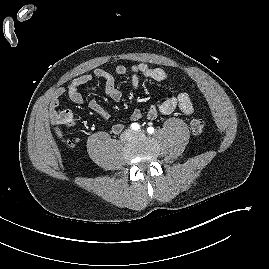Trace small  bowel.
I'll return each mask as SVG.
<instances>
[{
  "label": "small bowel",
  "instance_id": "1",
  "mask_svg": "<svg viewBox=\"0 0 269 269\" xmlns=\"http://www.w3.org/2000/svg\"><path fill=\"white\" fill-rule=\"evenodd\" d=\"M130 72V86L137 88L143 79L153 80L156 82H164L168 79V74L161 68L153 67L145 63L134 64L130 68L124 65H119L115 69L117 76H124ZM93 78H98L104 82V91L106 95L114 101H119L122 97L121 90L117 87L115 77L103 70L96 69L93 74H83L74 78L66 87L57 88L49 102V114L51 118L62 125V116L65 113L71 114L69 111H60V98L67 95L70 101L75 104L84 102L83 96L79 89L81 86L88 84ZM91 110L98 114L103 119L109 118V113L96 100L92 99L88 103ZM179 109L183 115H191L193 113V103L187 92H180L164 100L158 106L151 105L146 111V117L150 120L157 118L159 114L169 115ZM143 117V113L136 109L131 115L132 121H139ZM123 125L116 123L112 126V131L118 134L122 131Z\"/></svg>",
  "mask_w": 269,
  "mask_h": 269
}]
</instances>
